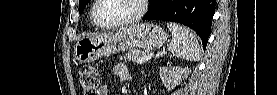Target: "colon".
<instances>
[{
  "label": "colon",
  "instance_id": "colon-1",
  "mask_svg": "<svg viewBox=\"0 0 277 95\" xmlns=\"http://www.w3.org/2000/svg\"><path fill=\"white\" fill-rule=\"evenodd\" d=\"M79 78L83 93L85 95H96L99 93L100 75L93 66H82L79 70Z\"/></svg>",
  "mask_w": 277,
  "mask_h": 95
}]
</instances>
